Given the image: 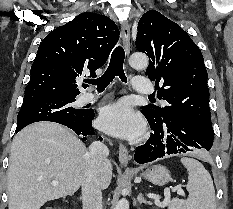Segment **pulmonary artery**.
Masks as SVG:
<instances>
[{
	"mask_svg": "<svg viewBox=\"0 0 233 209\" xmlns=\"http://www.w3.org/2000/svg\"><path fill=\"white\" fill-rule=\"evenodd\" d=\"M133 88L135 91L144 94H150L153 92V85L150 82V80L146 77L135 76L133 78ZM100 97L101 94L87 92L81 96V102L84 104L89 103L99 99Z\"/></svg>",
	"mask_w": 233,
	"mask_h": 209,
	"instance_id": "1",
	"label": "pulmonary artery"
}]
</instances>
